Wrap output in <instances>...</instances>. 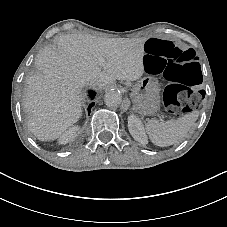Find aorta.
I'll use <instances>...</instances> for the list:
<instances>
[{
  "label": "aorta",
  "instance_id": "1",
  "mask_svg": "<svg viewBox=\"0 0 227 227\" xmlns=\"http://www.w3.org/2000/svg\"><path fill=\"white\" fill-rule=\"evenodd\" d=\"M104 102L108 107L118 106L122 102V96L117 91H109L105 94Z\"/></svg>",
  "mask_w": 227,
  "mask_h": 227
}]
</instances>
